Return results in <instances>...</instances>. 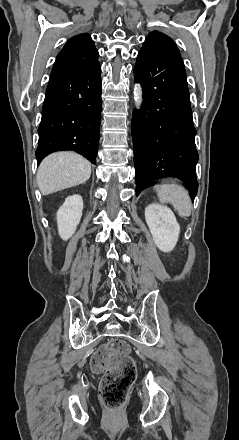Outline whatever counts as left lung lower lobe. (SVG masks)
Wrapping results in <instances>:
<instances>
[{
  "instance_id": "obj_1",
  "label": "left lung lower lobe",
  "mask_w": 239,
  "mask_h": 440,
  "mask_svg": "<svg viewBox=\"0 0 239 440\" xmlns=\"http://www.w3.org/2000/svg\"><path fill=\"white\" fill-rule=\"evenodd\" d=\"M143 87V104L132 117L136 194L149 181L176 177L198 190L189 91L181 56L141 49L134 67Z\"/></svg>"
}]
</instances>
